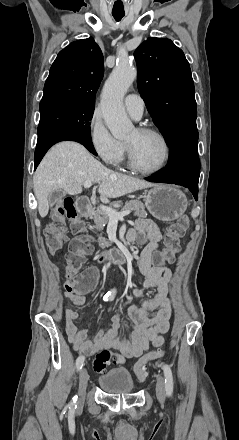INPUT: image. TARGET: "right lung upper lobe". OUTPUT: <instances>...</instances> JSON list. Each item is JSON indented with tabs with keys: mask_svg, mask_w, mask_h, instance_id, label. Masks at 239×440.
Returning <instances> with one entry per match:
<instances>
[{
	"mask_svg": "<svg viewBox=\"0 0 239 440\" xmlns=\"http://www.w3.org/2000/svg\"><path fill=\"white\" fill-rule=\"evenodd\" d=\"M103 74V54L94 39L72 42L59 52L52 64L40 103L69 99L94 106Z\"/></svg>",
	"mask_w": 239,
	"mask_h": 440,
	"instance_id": "1",
	"label": "right lung upper lobe"
}]
</instances>
